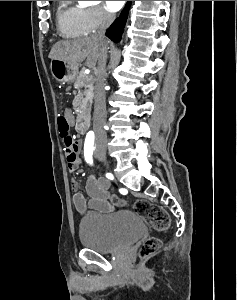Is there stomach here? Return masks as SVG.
Wrapping results in <instances>:
<instances>
[{
  "label": "stomach",
  "instance_id": "1",
  "mask_svg": "<svg viewBox=\"0 0 237 300\" xmlns=\"http://www.w3.org/2000/svg\"><path fill=\"white\" fill-rule=\"evenodd\" d=\"M51 73L56 81L61 83H74L78 75V65H69L60 59H51Z\"/></svg>",
  "mask_w": 237,
  "mask_h": 300
}]
</instances>
